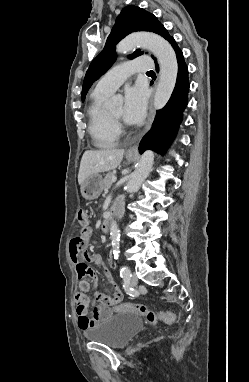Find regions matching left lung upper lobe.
I'll return each mask as SVG.
<instances>
[{"label": "left lung upper lobe", "instance_id": "1", "mask_svg": "<svg viewBox=\"0 0 249 382\" xmlns=\"http://www.w3.org/2000/svg\"><path fill=\"white\" fill-rule=\"evenodd\" d=\"M136 31H150L164 37L172 38L158 19L146 10L137 6H127L118 15L115 25L107 38L102 52L91 62L83 82L82 101L92 84L110 69L116 60L115 46L125 36ZM143 54L137 50L130 55L131 59Z\"/></svg>", "mask_w": 249, "mask_h": 382}]
</instances>
